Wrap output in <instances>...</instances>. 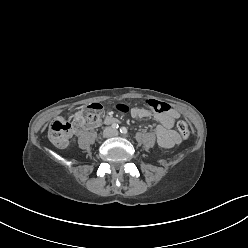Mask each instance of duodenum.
I'll return each instance as SVG.
<instances>
[{
    "mask_svg": "<svg viewBox=\"0 0 248 248\" xmlns=\"http://www.w3.org/2000/svg\"><path fill=\"white\" fill-rule=\"evenodd\" d=\"M104 122L107 124H114V123H118V119L113 116H106L104 118Z\"/></svg>",
    "mask_w": 248,
    "mask_h": 248,
    "instance_id": "duodenum-1",
    "label": "duodenum"
}]
</instances>
